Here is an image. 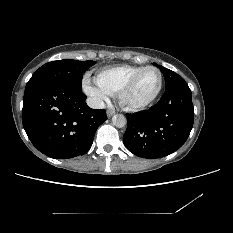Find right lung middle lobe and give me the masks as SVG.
I'll use <instances>...</instances> for the list:
<instances>
[{
  "mask_svg": "<svg viewBox=\"0 0 233 233\" xmlns=\"http://www.w3.org/2000/svg\"><path fill=\"white\" fill-rule=\"evenodd\" d=\"M95 61H77L64 59L52 61L37 69L28 81L25 91L44 84H60L80 90L83 73L86 72Z\"/></svg>",
  "mask_w": 233,
  "mask_h": 233,
  "instance_id": "dd1d6c3e",
  "label": "right lung middle lobe"
}]
</instances>
